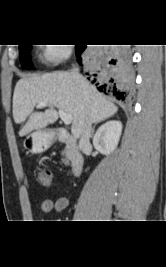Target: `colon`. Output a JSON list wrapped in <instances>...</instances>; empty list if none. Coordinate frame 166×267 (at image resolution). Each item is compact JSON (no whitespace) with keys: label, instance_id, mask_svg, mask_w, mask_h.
Returning a JSON list of instances; mask_svg holds the SVG:
<instances>
[{"label":"colon","instance_id":"obj_1","mask_svg":"<svg viewBox=\"0 0 166 267\" xmlns=\"http://www.w3.org/2000/svg\"><path fill=\"white\" fill-rule=\"evenodd\" d=\"M37 180L41 185L49 186L52 181V175L49 169L46 167L40 168L37 174Z\"/></svg>","mask_w":166,"mask_h":267}]
</instances>
